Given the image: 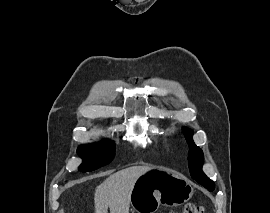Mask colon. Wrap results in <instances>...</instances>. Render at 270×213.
<instances>
[{"instance_id":"1","label":"colon","mask_w":270,"mask_h":213,"mask_svg":"<svg viewBox=\"0 0 270 213\" xmlns=\"http://www.w3.org/2000/svg\"><path fill=\"white\" fill-rule=\"evenodd\" d=\"M175 213V212H169ZM183 213H204V209L200 205L187 204L183 210Z\"/></svg>"}]
</instances>
